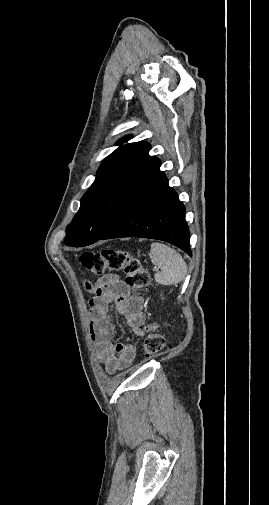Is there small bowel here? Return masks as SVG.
I'll list each match as a JSON object with an SVG mask.
<instances>
[{
    "label": "small bowel",
    "mask_w": 269,
    "mask_h": 505,
    "mask_svg": "<svg viewBox=\"0 0 269 505\" xmlns=\"http://www.w3.org/2000/svg\"><path fill=\"white\" fill-rule=\"evenodd\" d=\"M85 286L93 294L89 329L99 360L109 374L127 369L136 352L129 344L113 341L115 331L109 318V304L114 303L116 311L123 316L133 334L140 337L144 335L142 300L131 297L126 284L115 274L104 276L94 286L89 282Z\"/></svg>",
    "instance_id": "small-bowel-1"
}]
</instances>
